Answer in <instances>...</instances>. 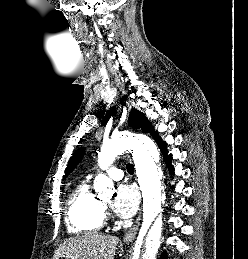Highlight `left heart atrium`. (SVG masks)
Listing matches in <instances>:
<instances>
[{"instance_id":"left-heart-atrium-1","label":"left heart atrium","mask_w":248,"mask_h":259,"mask_svg":"<svg viewBox=\"0 0 248 259\" xmlns=\"http://www.w3.org/2000/svg\"><path fill=\"white\" fill-rule=\"evenodd\" d=\"M139 194L134 186L120 184L116 189L113 207L116 213L123 217H131L137 210Z\"/></svg>"}]
</instances>
